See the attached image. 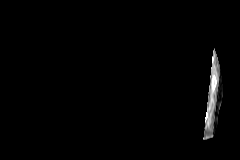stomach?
I'll return each mask as SVG.
<instances>
[{
	"label": "stomach",
	"instance_id": "1",
	"mask_svg": "<svg viewBox=\"0 0 240 160\" xmlns=\"http://www.w3.org/2000/svg\"><path fill=\"white\" fill-rule=\"evenodd\" d=\"M110 44L126 54L132 51L146 56L149 61L157 62L159 39L150 31L135 29L131 22L117 26L111 36Z\"/></svg>",
	"mask_w": 240,
	"mask_h": 160
}]
</instances>
